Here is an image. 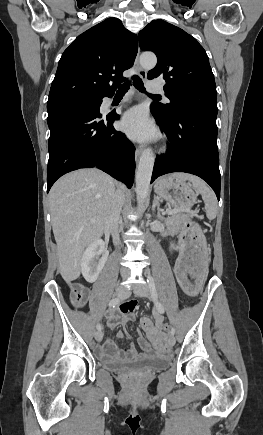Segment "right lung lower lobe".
<instances>
[{
  "mask_svg": "<svg viewBox=\"0 0 263 435\" xmlns=\"http://www.w3.org/2000/svg\"><path fill=\"white\" fill-rule=\"evenodd\" d=\"M100 105L98 108L68 109L48 115L47 192L65 173L92 167L122 181L128 188L132 186L135 147L112 125L120 116L116 113L102 116Z\"/></svg>",
  "mask_w": 263,
  "mask_h": 435,
  "instance_id": "obj_1",
  "label": "right lung lower lobe"
}]
</instances>
